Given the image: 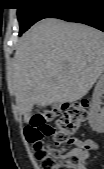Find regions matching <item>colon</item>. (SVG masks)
<instances>
[{
    "label": "colon",
    "mask_w": 104,
    "mask_h": 169,
    "mask_svg": "<svg viewBox=\"0 0 104 169\" xmlns=\"http://www.w3.org/2000/svg\"><path fill=\"white\" fill-rule=\"evenodd\" d=\"M89 102L85 99L39 111L25 127V138L40 162L41 169H83L79 151L89 150L91 144L78 141L74 135L88 117ZM60 117L56 125L51 122ZM52 137V143L44 138ZM75 146L67 151L66 148Z\"/></svg>",
    "instance_id": "5ec220e1"
}]
</instances>
